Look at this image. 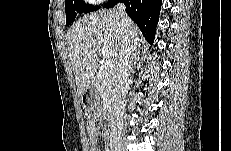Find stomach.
Instances as JSON below:
<instances>
[{"label": "stomach", "instance_id": "0dacf381", "mask_svg": "<svg viewBox=\"0 0 231 151\" xmlns=\"http://www.w3.org/2000/svg\"><path fill=\"white\" fill-rule=\"evenodd\" d=\"M89 94L93 97L92 99L88 98V95L84 96L82 99L87 103V105H92L96 99L97 91L94 87L90 88Z\"/></svg>", "mask_w": 231, "mask_h": 151}]
</instances>
